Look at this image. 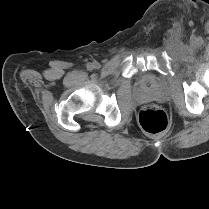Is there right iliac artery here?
I'll use <instances>...</instances> for the list:
<instances>
[{
    "instance_id": "1",
    "label": "right iliac artery",
    "mask_w": 209,
    "mask_h": 209,
    "mask_svg": "<svg viewBox=\"0 0 209 209\" xmlns=\"http://www.w3.org/2000/svg\"><path fill=\"white\" fill-rule=\"evenodd\" d=\"M87 68L90 69V70H92V69L94 68V65H93L92 63H89V64L87 65Z\"/></svg>"
}]
</instances>
